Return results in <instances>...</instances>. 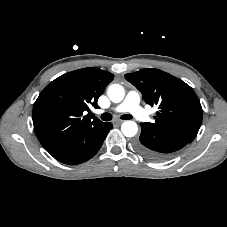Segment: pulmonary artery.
I'll return each instance as SVG.
<instances>
[{
  "label": "pulmonary artery",
  "mask_w": 227,
  "mask_h": 227,
  "mask_svg": "<svg viewBox=\"0 0 227 227\" xmlns=\"http://www.w3.org/2000/svg\"><path fill=\"white\" fill-rule=\"evenodd\" d=\"M112 111L121 113L129 112L136 119L147 122L150 120L148 113L140 106V95L137 91L131 90L126 95L124 101L114 107Z\"/></svg>",
  "instance_id": "pulmonary-artery-1"
}]
</instances>
